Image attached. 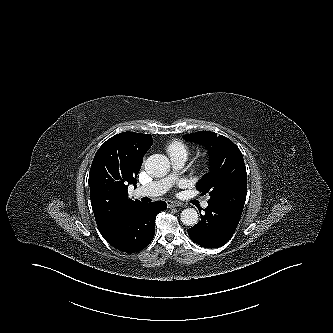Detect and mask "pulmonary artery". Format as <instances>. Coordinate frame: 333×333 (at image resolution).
I'll return each mask as SVG.
<instances>
[{
  "label": "pulmonary artery",
  "instance_id": "pulmonary-artery-1",
  "mask_svg": "<svg viewBox=\"0 0 333 333\" xmlns=\"http://www.w3.org/2000/svg\"><path fill=\"white\" fill-rule=\"evenodd\" d=\"M186 158L184 157H173L171 158L172 165L175 169H180L183 167ZM175 179V175L171 174L163 179L151 182L147 185L141 186L135 190L136 196H147L156 197L164 194L171 186ZM208 206V199L203 201L202 207L206 208Z\"/></svg>",
  "mask_w": 333,
  "mask_h": 333
}]
</instances>
